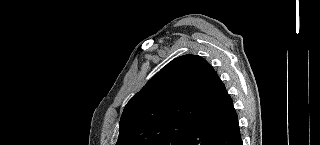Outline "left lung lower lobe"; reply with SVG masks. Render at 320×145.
<instances>
[{"mask_svg":"<svg viewBox=\"0 0 320 145\" xmlns=\"http://www.w3.org/2000/svg\"><path fill=\"white\" fill-rule=\"evenodd\" d=\"M209 87L210 109L187 132L181 145H242L232 99L216 72Z\"/></svg>","mask_w":320,"mask_h":145,"instance_id":"left-lung-lower-lobe-1","label":"left lung lower lobe"}]
</instances>
